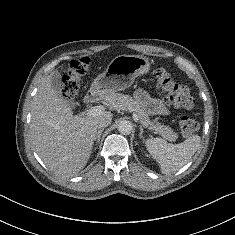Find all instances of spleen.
<instances>
[{
	"label": "spleen",
	"mask_w": 235,
	"mask_h": 235,
	"mask_svg": "<svg viewBox=\"0 0 235 235\" xmlns=\"http://www.w3.org/2000/svg\"><path fill=\"white\" fill-rule=\"evenodd\" d=\"M201 138L193 135L180 144H170L162 138H149L146 147L152 157L159 163L163 174L177 171L190 161L200 146Z\"/></svg>",
	"instance_id": "obj_1"
}]
</instances>
